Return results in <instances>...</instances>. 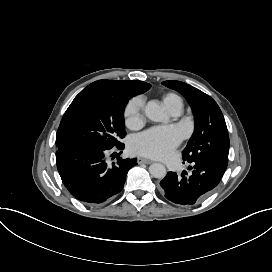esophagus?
<instances>
[{"instance_id":"1","label":"esophagus","mask_w":272,"mask_h":272,"mask_svg":"<svg viewBox=\"0 0 272 272\" xmlns=\"http://www.w3.org/2000/svg\"><path fill=\"white\" fill-rule=\"evenodd\" d=\"M137 163L141 164V163H144V164H151L152 161L150 159H147V158H143V157H139L137 159Z\"/></svg>"}]
</instances>
